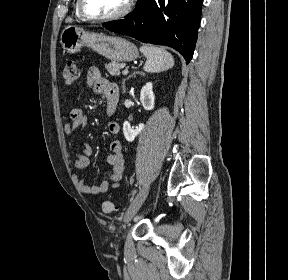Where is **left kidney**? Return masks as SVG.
<instances>
[{
    "instance_id": "1",
    "label": "left kidney",
    "mask_w": 288,
    "mask_h": 280,
    "mask_svg": "<svg viewBox=\"0 0 288 280\" xmlns=\"http://www.w3.org/2000/svg\"><path fill=\"white\" fill-rule=\"evenodd\" d=\"M153 85L151 82L146 83L141 89L140 101L145 110H152L155 105V95L153 93ZM144 129V124H140L139 127L133 129L128 121L123 123V134L128 142L134 141L135 137L139 135Z\"/></svg>"
}]
</instances>
